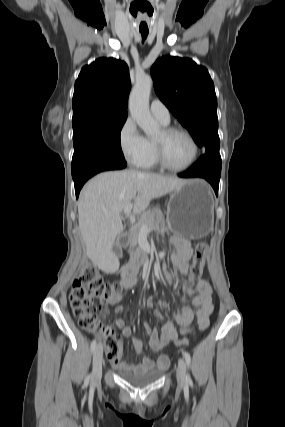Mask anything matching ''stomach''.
Listing matches in <instances>:
<instances>
[{
	"label": "stomach",
	"instance_id": "0dacf381",
	"mask_svg": "<svg viewBox=\"0 0 285 427\" xmlns=\"http://www.w3.org/2000/svg\"><path fill=\"white\" fill-rule=\"evenodd\" d=\"M214 200L208 184L188 180L170 195L166 222L171 232L186 239H199L213 228Z\"/></svg>",
	"mask_w": 285,
	"mask_h": 427
}]
</instances>
